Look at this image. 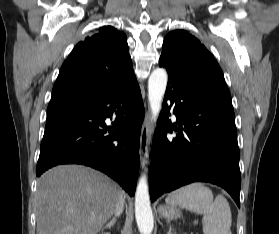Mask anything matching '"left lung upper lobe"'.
<instances>
[{
  "label": "left lung upper lobe",
  "mask_w": 279,
  "mask_h": 234,
  "mask_svg": "<svg viewBox=\"0 0 279 234\" xmlns=\"http://www.w3.org/2000/svg\"><path fill=\"white\" fill-rule=\"evenodd\" d=\"M160 58L189 75L226 86L222 70L213 55L184 30L172 31L165 37Z\"/></svg>",
  "instance_id": "5c2ea615"
}]
</instances>
